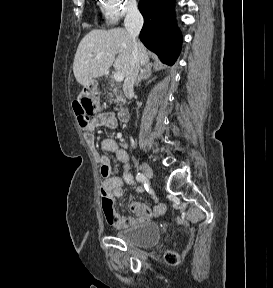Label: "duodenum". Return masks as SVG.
<instances>
[{
  "label": "duodenum",
  "mask_w": 273,
  "mask_h": 288,
  "mask_svg": "<svg viewBox=\"0 0 273 288\" xmlns=\"http://www.w3.org/2000/svg\"><path fill=\"white\" fill-rule=\"evenodd\" d=\"M118 119L121 123H127L130 119V114L127 110L121 109L118 112Z\"/></svg>",
  "instance_id": "410a0bca"
}]
</instances>
